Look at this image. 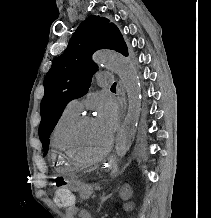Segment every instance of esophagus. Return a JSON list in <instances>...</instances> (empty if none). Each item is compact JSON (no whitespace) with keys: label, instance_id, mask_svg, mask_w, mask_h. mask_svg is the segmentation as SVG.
Segmentation results:
<instances>
[{"label":"esophagus","instance_id":"34e87169","mask_svg":"<svg viewBox=\"0 0 211 218\" xmlns=\"http://www.w3.org/2000/svg\"><path fill=\"white\" fill-rule=\"evenodd\" d=\"M119 84L121 85V82H119ZM122 99H123L124 103H126V98L124 95H123ZM111 163H112L111 159H103L101 171L102 172H109L110 167H111Z\"/></svg>","mask_w":211,"mask_h":218}]
</instances>
